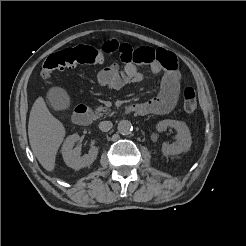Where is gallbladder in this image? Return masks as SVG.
Wrapping results in <instances>:
<instances>
[{"mask_svg": "<svg viewBox=\"0 0 246 246\" xmlns=\"http://www.w3.org/2000/svg\"><path fill=\"white\" fill-rule=\"evenodd\" d=\"M47 101L54 110H66L70 106V97L61 87H53L47 93Z\"/></svg>", "mask_w": 246, "mask_h": 246, "instance_id": "obj_1", "label": "gallbladder"}]
</instances>
